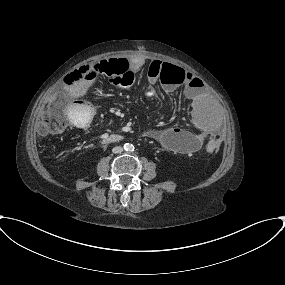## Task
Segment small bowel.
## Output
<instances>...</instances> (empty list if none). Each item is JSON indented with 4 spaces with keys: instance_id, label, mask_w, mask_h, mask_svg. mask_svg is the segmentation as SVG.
Returning <instances> with one entry per match:
<instances>
[{
    "instance_id": "c3829d8e",
    "label": "small bowel",
    "mask_w": 285,
    "mask_h": 285,
    "mask_svg": "<svg viewBox=\"0 0 285 285\" xmlns=\"http://www.w3.org/2000/svg\"><path fill=\"white\" fill-rule=\"evenodd\" d=\"M142 63V59H136L131 64L134 68H139ZM162 67V61L158 59L150 61L149 73L151 74V80L157 78ZM197 81L198 79L194 74L186 72L181 82H171L164 85L165 90L168 92L183 88L189 101V118L197 133L177 127L152 132V138L159 142L162 147L176 150L181 154L195 152L203 147L207 139L220 135L217 123L205 114V103L201 97V87ZM92 83L93 80L87 79L76 81L73 85L64 88L69 117L75 126H79L80 118H90V105L83 99L88 95Z\"/></svg>"
}]
</instances>
